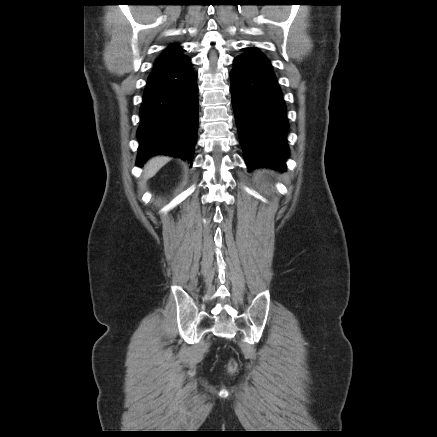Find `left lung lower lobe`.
<instances>
[{"mask_svg": "<svg viewBox=\"0 0 437 437\" xmlns=\"http://www.w3.org/2000/svg\"><path fill=\"white\" fill-rule=\"evenodd\" d=\"M233 65L232 106L247 167L285 171L289 124L272 65L254 47L236 57Z\"/></svg>", "mask_w": 437, "mask_h": 437, "instance_id": "0a47b994", "label": "left lung lower lobe"}]
</instances>
